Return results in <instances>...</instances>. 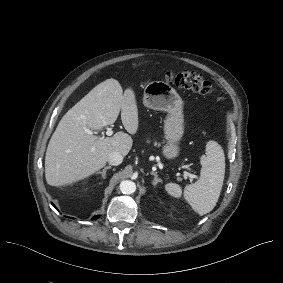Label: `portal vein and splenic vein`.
<instances>
[{
  "label": "portal vein and splenic vein",
  "instance_id": "1",
  "mask_svg": "<svg viewBox=\"0 0 283 283\" xmlns=\"http://www.w3.org/2000/svg\"><path fill=\"white\" fill-rule=\"evenodd\" d=\"M85 132L88 134H93L92 130L87 129V128L85 129ZM112 134H113V131L111 129H107L106 135L111 136Z\"/></svg>",
  "mask_w": 283,
  "mask_h": 283
}]
</instances>
